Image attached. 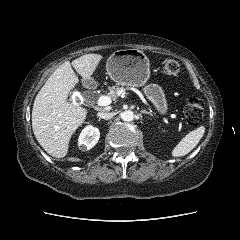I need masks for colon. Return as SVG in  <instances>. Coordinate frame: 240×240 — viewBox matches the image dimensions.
<instances>
[{
  "label": "colon",
  "instance_id": "1",
  "mask_svg": "<svg viewBox=\"0 0 240 240\" xmlns=\"http://www.w3.org/2000/svg\"><path fill=\"white\" fill-rule=\"evenodd\" d=\"M161 72L168 78L176 77L180 72L179 63L174 59H166L161 65ZM184 114L189 124H199L204 114L203 101L197 97L187 99L184 106Z\"/></svg>",
  "mask_w": 240,
  "mask_h": 240
}]
</instances>
